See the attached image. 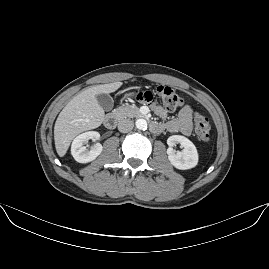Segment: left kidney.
Wrapping results in <instances>:
<instances>
[{"label": "left kidney", "instance_id": "obj_1", "mask_svg": "<svg viewBox=\"0 0 269 269\" xmlns=\"http://www.w3.org/2000/svg\"><path fill=\"white\" fill-rule=\"evenodd\" d=\"M184 147L183 152H176V144ZM167 154L170 162L179 169L194 167L198 161V154L195 145L185 136L172 135L167 139Z\"/></svg>", "mask_w": 269, "mask_h": 269}]
</instances>
